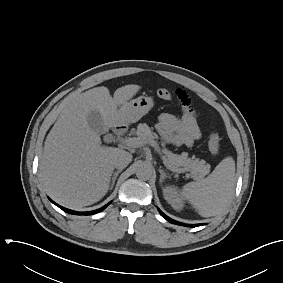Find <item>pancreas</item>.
<instances>
[{"instance_id": "1", "label": "pancreas", "mask_w": 283, "mask_h": 283, "mask_svg": "<svg viewBox=\"0 0 283 283\" xmlns=\"http://www.w3.org/2000/svg\"><path fill=\"white\" fill-rule=\"evenodd\" d=\"M132 134H136L137 138L143 142L154 140L158 138V135L150 129L145 123H140L136 131ZM164 145V143H162ZM164 156L162 157L164 163L172 170L183 169L184 172H190V176L194 179H200L206 176L210 172V165L205 160H199L198 158H189L188 153L183 152L181 155H177L163 149Z\"/></svg>"}]
</instances>
